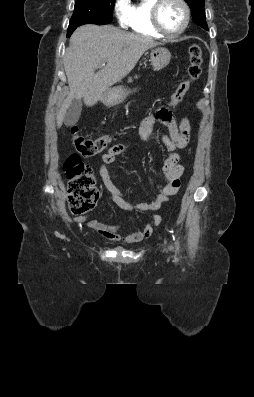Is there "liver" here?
<instances>
[{
    "instance_id": "liver-1",
    "label": "liver",
    "mask_w": 254,
    "mask_h": 397,
    "mask_svg": "<svg viewBox=\"0 0 254 397\" xmlns=\"http://www.w3.org/2000/svg\"><path fill=\"white\" fill-rule=\"evenodd\" d=\"M150 37L111 25H83L75 30L64 57L69 94L57 113V127L74 99L95 105L108 89L132 71L145 51L159 45ZM106 63L101 70L95 69Z\"/></svg>"
}]
</instances>
